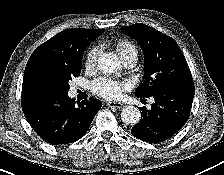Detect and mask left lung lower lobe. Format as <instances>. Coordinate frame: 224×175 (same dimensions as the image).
<instances>
[{"instance_id": "1", "label": "left lung lower lobe", "mask_w": 224, "mask_h": 175, "mask_svg": "<svg viewBox=\"0 0 224 175\" xmlns=\"http://www.w3.org/2000/svg\"><path fill=\"white\" fill-rule=\"evenodd\" d=\"M194 94V88L179 87H166L153 93L150 97L155 102L151 109L140 107L142 118L131 129L132 135L149 143L171 138L189 119Z\"/></svg>"}]
</instances>
